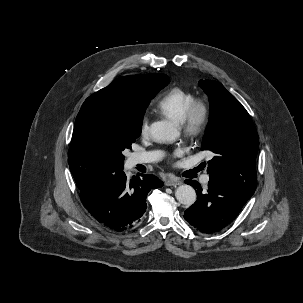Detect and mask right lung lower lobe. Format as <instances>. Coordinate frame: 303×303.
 Instances as JSON below:
<instances>
[{
    "label": "right lung lower lobe",
    "mask_w": 303,
    "mask_h": 303,
    "mask_svg": "<svg viewBox=\"0 0 303 303\" xmlns=\"http://www.w3.org/2000/svg\"><path fill=\"white\" fill-rule=\"evenodd\" d=\"M127 181L123 170L102 173L78 187L85 208L100 223L114 231L133 228L146 211L148 192L162 187L154 175H141Z\"/></svg>",
    "instance_id": "1"
}]
</instances>
